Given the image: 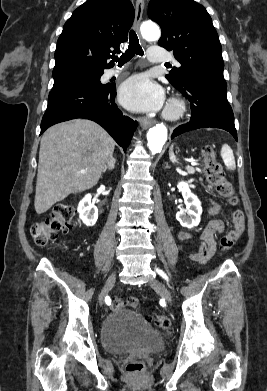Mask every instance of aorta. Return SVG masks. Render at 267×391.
<instances>
[{
  "mask_svg": "<svg viewBox=\"0 0 267 391\" xmlns=\"http://www.w3.org/2000/svg\"><path fill=\"white\" fill-rule=\"evenodd\" d=\"M140 31L142 36L149 41H156L161 35L158 26L153 22H144L140 27ZM167 134L168 131L164 124H157L148 131V147L152 154H156L162 150L167 140Z\"/></svg>",
  "mask_w": 267,
  "mask_h": 391,
  "instance_id": "762f6f07",
  "label": "aorta"
}]
</instances>
